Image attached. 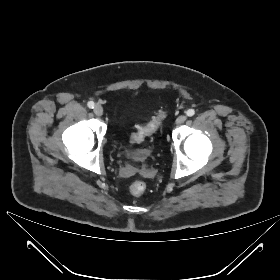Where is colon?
I'll return each mask as SVG.
<instances>
[{"label":"colon","instance_id":"5ec220e1","mask_svg":"<svg viewBox=\"0 0 280 280\" xmlns=\"http://www.w3.org/2000/svg\"><path fill=\"white\" fill-rule=\"evenodd\" d=\"M167 115L166 110H160L157 115L146 125L139 126L137 130L132 134L131 141L141 142L145 138L150 137L156 130L160 121ZM129 190L134 196H141L146 190V183L141 180H134L129 186Z\"/></svg>","mask_w":280,"mask_h":280}]
</instances>
